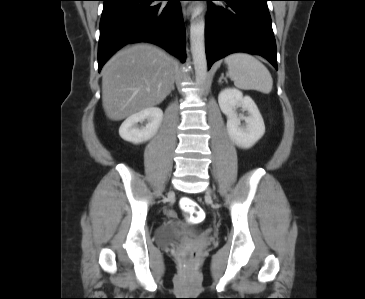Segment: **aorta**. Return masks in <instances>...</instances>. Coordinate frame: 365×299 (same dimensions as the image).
<instances>
[{
    "label": "aorta",
    "instance_id": "aorta-1",
    "mask_svg": "<svg viewBox=\"0 0 365 299\" xmlns=\"http://www.w3.org/2000/svg\"><path fill=\"white\" fill-rule=\"evenodd\" d=\"M190 43L197 80L203 82L207 76V59L205 53V19L203 7L200 4L193 9Z\"/></svg>",
    "mask_w": 365,
    "mask_h": 299
}]
</instances>
